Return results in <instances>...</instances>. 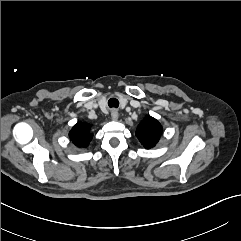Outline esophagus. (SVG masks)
Wrapping results in <instances>:
<instances>
[{"label": "esophagus", "instance_id": "1", "mask_svg": "<svg viewBox=\"0 0 241 241\" xmlns=\"http://www.w3.org/2000/svg\"><path fill=\"white\" fill-rule=\"evenodd\" d=\"M118 117H119L118 111L116 109H113L111 111V118H112V120L116 121L118 119Z\"/></svg>", "mask_w": 241, "mask_h": 241}]
</instances>
